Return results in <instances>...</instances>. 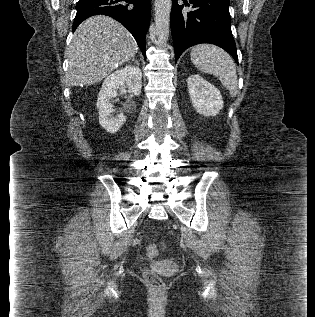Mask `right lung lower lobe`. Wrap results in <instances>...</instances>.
<instances>
[{"mask_svg": "<svg viewBox=\"0 0 315 317\" xmlns=\"http://www.w3.org/2000/svg\"><path fill=\"white\" fill-rule=\"evenodd\" d=\"M76 10L73 31L90 16L108 15L129 30L146 58L145 35L150 25V0H79Z\"/></svg>", "mask_w": 315, "mask_h": 317, "instance_id": "obj_1", "label": "right lung lower lobe"}]
</instances>
